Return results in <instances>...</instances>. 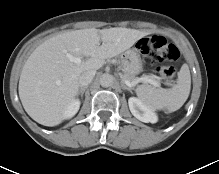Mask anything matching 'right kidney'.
I'll use <instances>...</instances> for the list:
<instances>
[{
	"label": "right kidney",
	"mask_w": 219,
	"mask_h": 174,
	"mask_svg": "<svg viewBox=\"0 0 219 174\" xmlns=\"http://www.w3.org/2000/svg\"><path fill=\"white\" fill-rule=\"evenodd\" d=\"M80 101L78 99L73 100L64 112V119L72 118L79 110Z\"/></svg>",
	"instance_id": "1"
}]
</instances>
